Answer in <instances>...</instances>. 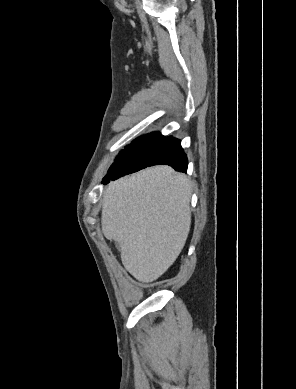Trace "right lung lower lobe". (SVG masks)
<instances>
[{"label":"right lung lower lobe","mask_w":296,"mask_h":389,"mask_svg":"<svg viewBox=\"0 0 296 389\" xmlns=\"http://www.w3.org/2000/svg\"><path fill=\"white\" fill-rule=\"evenodd\" d=\"M153 165H169L176 171L186 172L188 160L181 147V141L171 136L164 138L147 156L144 165L137 168L108 171V174L103 178V183L106 184L111 179L115 180L126 174L133 173L147 166Z\"/></svg>","instance_id":"1"}]
</instances>
